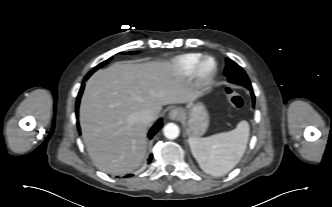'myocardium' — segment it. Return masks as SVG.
<instances>
[{
    "label": "myocardium",
    "instance_id": "1",
    "mask_svg": "<svg viewBox=\"0 0 332 207\" xmlns=\"http://www.w3.org/2000/svg\"><path fill=\"white\" fill-rule=\"evenodd\" d=\"M210 63L208 69L205 68L206 63ZM218 70V64L215 58L211 56H203L196 63L192 75L197 86L206 87L213 81Z\"/></svg>",
    "mask_w": 332,
    "mask_h": 207
}]
</instances>
